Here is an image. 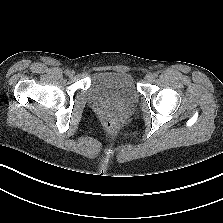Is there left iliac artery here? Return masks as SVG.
I'll return each instance as SVG.
<instances>
[{
	"instance_id": "1",
	"label": "left iliac artery",
	"mask_w": 223,
	"mask_h": 223,
	"mask_svg": "<svg viewBox=\"0 0 223 223\" xmlns=\"http://www.w3.org/2000/svg\"><path fill=\"white\" fill-rule=\"evenodd\" d=\"M154 78L158 76V73H153Z\"/></svg>"
}]
</instances>
